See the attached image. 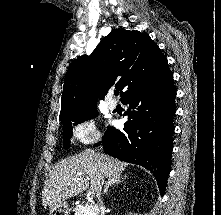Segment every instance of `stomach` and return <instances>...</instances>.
<instances>
[{
    "label": "stomach",
    "instance_id": "stomach-1",
    "mask_svg": "<svg viewBox=\"0 0 221 215\" xmlns=\"http://www.w3.org/2000/svg\"><path fill=\"white\" fill-rule=\"evenodd\" d=\"M50 215H69L70 209L66 202H58L49 206Z\"/></svg>",
    "mask_w": 221,
    "mask_h": 215
}]
</instances>
